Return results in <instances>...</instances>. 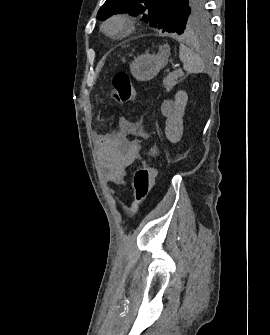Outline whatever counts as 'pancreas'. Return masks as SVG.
Masks as SVG:
<instances>
[{
  "instance_id": "cf45deb5",
  "label": "pancreas",
  "mask_w": 270,
  "mask_h": 335,
  "mask_svg": "<svg viewBox=\"0 0 270 335\" xmlns=\"http://www.w3.org/2000/svg\"><path fill=\"white\" fill-rule=\"evenodd\" d=\"M183 74L181 72H171L167 78H164L163 84L164 88H166V92H170L173 86H176L178 78H182Z\"/></svg>"
}]
</instances>
